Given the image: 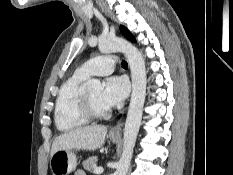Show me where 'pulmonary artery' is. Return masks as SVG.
Listing matches in <instances>:
<instances>
[{
	"label": "pulmonary artery",
	"instance_id": "obj_1",
	"mask_svg": "<svg viewBox=\"0 0 233 175\" xmlns=\"http://www.w3.org/2000/svg\"><path fill=\"white\" fill-rule=\"evenodd\" d=\"M116 63L117 60L113 56H99L84 63L76 73L86 78L94 75L105 76L114 70Z\"/></svg>",
	"mask_w": 233,
	"mask_h": 175
}]
</instances>
